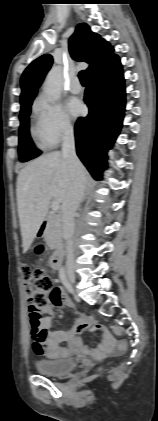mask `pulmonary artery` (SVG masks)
<instances>
[{
	"label": "pulmonary artery",
	"instance_id": "1",
	"mask_svg": "<svg viewBox=\"0 0 158 421\" xmlns=\"http://www.w3.org/2000/svg\"><path fill=\"white\" fill-rule=\"evenodd\" d=\"M69 90L74 94L80 93L82 91V86H81L78 78H74L71 81V83L69 85Z\"/></svg>",
	"mask_w": 158,
	"mask_h": 421
}]
</instances>
